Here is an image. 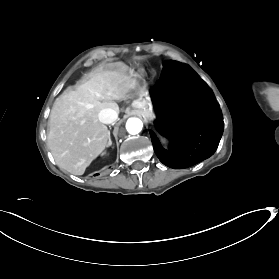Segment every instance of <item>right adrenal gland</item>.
Here are the masks:
<instances>
[{"instance_id":"2a0ac1e0","label":"right adrenal gland","mask_w":279,"mask_h":279,"mask_svg":"<svg viewBox=\"0 0 279 279\" xmlns=\"http://www.w3.org/2000/svg\"><path fill=\"white\" fill-rule=\"evenodd\" d=\"M111 146V138H110V133H109V145H108V147H110Z\"/></svg>"}]
</instances>
